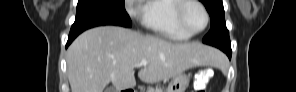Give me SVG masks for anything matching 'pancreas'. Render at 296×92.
<instances>
[{
  "mask_svg": "<svg viewBox=\"0 0 296 92\" xmlns=\"http://www.w3.org/2000/svg\"><path fill=\"white\" fill-rule=\"evenodd\" d=\"M163 90L161 88H152V87H149L148 88V92H162Z\"/></svg>",
  "mask_w": 296,
  "mask_h": 92,
  "instance_id": "cf45deb5",
  "label": "pancreas"
}]
</instances>
